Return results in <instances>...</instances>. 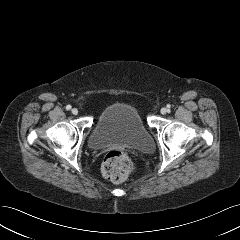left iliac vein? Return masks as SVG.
<instances>
[{
	"label": "left iliac vein",
	"mask_w": 240,
	"mask_h": 240,
	"mask_svg": "<svg viewBox=\"0 0 240 240\" xmlns=\"http://www.w3.org/2000/svg\"><path fill=\"white\" fill-rule=\"evenodd\" d=\"M161 114H166L167 113V109L165 107L161 108L160 110Z\"/></svg>",
	"instance_id": "1"
}]
</instances>
